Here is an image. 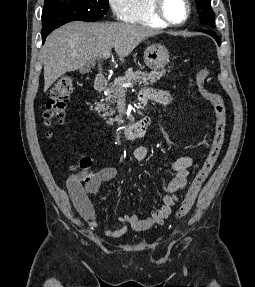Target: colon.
<instances>
[{"label": "colon", "instance_id": "5ec220e1", "mask_svg": "<svg viewBox=\"0 0 255 287\" xmlns=\"http://www.w3.org/2000/svg\"><path fill=\"white\" fill-rule=\"evenodd\" d=\"M209 71L206 67L200 68L196 73V81L201 94L211 103L215 113V127L207 156L196 173L190 187L188 188L180 207L176 212V217L181 219L188 214L194 204L204 182L208 178L214 168L225 139L226 127V108L222 97L216 93L210 92L205 88V81ZM74 82L70 75L60 77L50 90L49 98L46 103L44 119L48 126H61L65 119V106L73 91ZM52 136V133H49ZM91 165V161L87 157H82L77 165V169L85 170ZM77 174L73 173L71 178ZM87 179L86 181H88Z\"/></svg>", "mask_w": 255, "mask_h": 287}]
</instances>
